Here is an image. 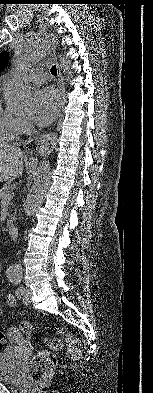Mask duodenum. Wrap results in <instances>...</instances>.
Segmentation results:
<instances>
[{"label": "duodenum", "mask_w": 153, "mask_h": 393, "mask_svg": "<svg viewBox=\"0 0 153 393\" xmlns=\"http://www.w3.org/2000/svg\"><path fill=\"white\" fill-rule=\"evenodd\" d=\"M8 232H9V235L11 236V237H16L17 236V232H18V227H17V225L16 224H10L9 226H8Z\"/></svg>", "instance_id": "obj_1"}]
</instances>
